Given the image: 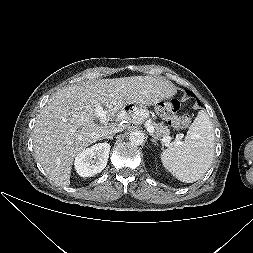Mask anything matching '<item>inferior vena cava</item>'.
I'll return each mask as SVG.
<instances>
[{
  "label": "inferior vena cava",
  "mask_w": 253,
  "mask_h": 253,
  "mask_svg": "<svg viewBox=\"0 0 253 253\" xmlns=\"http://www.w3.org/2000/svg\"><path fill=\"white\" fill-rule=\"evenodd\" d=\"M117 132H121V129H119V128H114V129H112V130H110V131H106V132L103 134V136H104V137H108V136H110V135H114V134L117 133Z\"/></svg>",
  "instance_id": "inferior-vena-cava-1"
}]
</instances>
